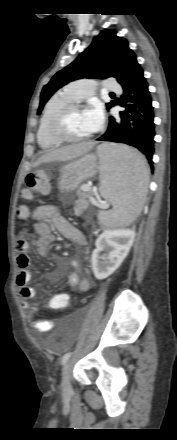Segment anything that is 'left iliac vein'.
<instances>
[{
    "mask_svg": "<svg viewBox=\"0 0 177 440\" xmlns=\"http://www.w3.org/2000/svg\"><path fill=\"white\" fill-rule=\"evenodd\" d=\"M70 368L71 362H66L62 373V387L65 391H68L70 389Z\"/></svg>",
    "mask_w": 177,
    "mask_h": 440,
    "instance_id": "left-iliac-vein-1",
    "label": "left iliac vein"
}]
</instances>
